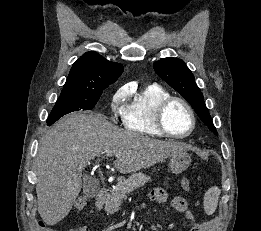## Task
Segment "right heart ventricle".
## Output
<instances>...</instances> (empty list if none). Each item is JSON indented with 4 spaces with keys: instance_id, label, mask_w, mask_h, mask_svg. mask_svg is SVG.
Listing matches in <instances>:
<instances>
[{
    "instance_id": "obj_1",
    "label": "right heart ventricle",
    "mask_w": 261,
    "mask_h": 231,
    "mask_svg": "<svg viewBox=\"0 0 261 231\" xmlns=\"http://www.w3.org/2000/svg\"><path fill=\"white\" fill-rule=\"evenodd\" d=\"M126 96L128 101L122 114L124 127L144 136H164L156 126L155 115L157 106L170 97V93L158 85H149L137 91L127 88Z\"/></svg>"
}]
</instances>
